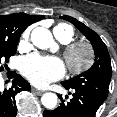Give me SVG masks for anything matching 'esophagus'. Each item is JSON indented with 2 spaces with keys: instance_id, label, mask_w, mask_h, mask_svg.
Returning <instances> with one entry per match:
<instances>
[{
  "instance_id": "1",
  "label": "esophagus",
  "mask_w": 117,
  "mask_h": 117,
  "mask_svg": "<svg viewBox=\"0 0 117 117\" xmlns=\"http://www.w3.org/2000/svg\"><path fill=\"white\" fill-rule=\"evenodd\" d=\"M32 91H33L35 94H37V95H41V94L44 93L43 91L37 90V89H35V88H32Z\"/></svg>"
}]
</instances>
